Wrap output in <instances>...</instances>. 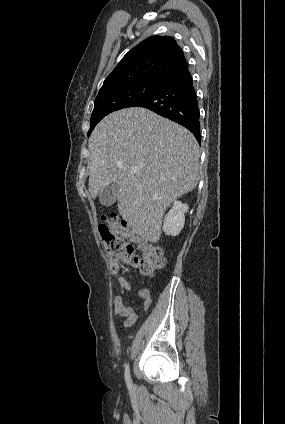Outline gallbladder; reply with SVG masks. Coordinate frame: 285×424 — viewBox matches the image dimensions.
I'll return each instance as SVG.
<instances>
[{"instance_id": "1", "label": "gallbladder", "mask_w": 285, "mask_h": 424, "mask_svg": "<svg viewBox=\"0 0 285 424\" xmlns=\"http://www.w3.org/2000/svg\"><path fill=\"white\" fill-rule=\"evenodd\" d=\"M119 186L116 183L107 185L100 193L99 200L103 206H111L117 199Z\"/></svg>"}]
</instances>
